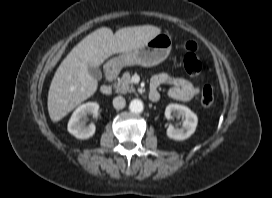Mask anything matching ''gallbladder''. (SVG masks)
I'll return each mask as SVG.
<instances>
[{
    "label": "gallbladder",
    "instance_id": "bac80fb5",
    "mask_svg": "<svg viewBox=\"0 0 272 198\" xmlns=\"http://www.w3.org/2000/svg\"><path fill=\"white\" fill-rule=\"evenodd\" d=\"M89 74L93 76L95 79L100 80L102 78V72L98 67L89 66Z\"/></svg>",
    "mask_w": 272,
    "mask_h": 198
}]
</instances>
